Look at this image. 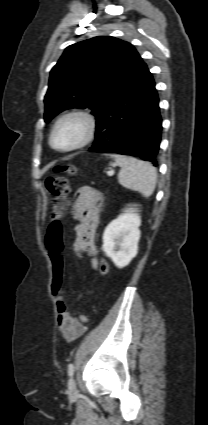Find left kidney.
Listing matches in <instances>:
<instances>
[{
  "label": "left kidney",
  "instance_id": "left-kidney-1",
  "mask_svg": "<svg viewBox=\"0 0 208 425\" xmlns=\"http://www.w3.org/2000/svg\"><path fill=\"white\" fill-rule=\"evenodd\" d=\"M137 212L138 208H127L104 231L102 249L118 268L127 266L138 253L141 218Z\"/></svg>",
  "mask_w": 208,
  "mask_h": 425
}]
</instances>
